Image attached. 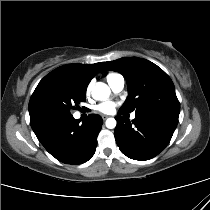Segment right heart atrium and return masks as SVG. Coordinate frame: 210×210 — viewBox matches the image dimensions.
<instances>
[{"label":"right heart atrium","instance_id":"obj_1","mask_svg":"<svg viewBox=\"0 0 210 210\" xmlns=\"http://www.w3.org/2000/svg\"><path fill=\"white\" fill-rule=\"evenodd\" d=\"M91 88H92V85H91V84H89V85H88V87H87V89H86L87 94H89V93H90Z\"/></svg>","mask_w":210,"mask_h":210}]
</instances>
